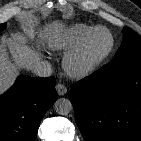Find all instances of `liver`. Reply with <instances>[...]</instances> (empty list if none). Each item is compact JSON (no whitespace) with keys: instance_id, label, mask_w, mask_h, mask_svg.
Wrapping results in <instances>:
<instances>
[{"instance_id":"1","label":"liver","mask_w":141,"mask_h":141,"mask_svg":"<svg viewBox=\"0 0 141 141\" xmlns=\"http://www.w3.org/2000/svg\"><path fill=\"white\" fill-rule=\"evenodd\" d=\"M22 28L24 34L15 33L11 38L2 37L0 44V94L5 92L15 80L18 70L23 68L33 70L34 66L40 61V55L26 44L25 36L32 37L39 33L36 24L30 19H24ZM65 27L59 21L48 24L43 30L45 40L53 46L60 43ZM5 45L13 57L12 63L7 55Z\"/></svg>"}]
</instances>
